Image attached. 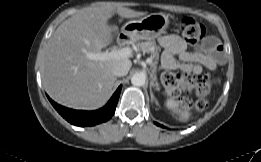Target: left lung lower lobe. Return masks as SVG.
<instances>
[{"label": "left lung lower lobe", "instance_id": "left-lung-lower-lobe-1", "mask_svg": "<svg viewBox=\"0 0 261 162\" xmlns=\"http://www.w3.org/2000/svg\"><path fill=\"white\" fill-rule=\"evenodd\" d=\"M156 125H158V126H161L160 124H158L157 122L155 123Z\"/></svg>", "mask_w": 261, "mask_h": 162}]
</instances>
